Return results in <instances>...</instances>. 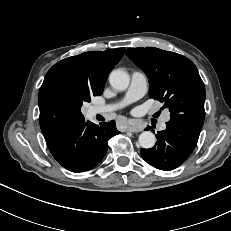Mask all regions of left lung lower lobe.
Masks as SVG:
<instances>
[{
	"label": "left lung lower lobe",
	"instance_id": "obj_1",
	"mask_svg": "<svg viewBox=\"0 0 231 231\" xmlns=\"http://www.w3.org/2000/svg\"><path fill=\"white\" fill-rule=\"evenodd\" d=\"M147 126L145 130H151ZM198 132L175 122H167L166 129L157 133V142L153 148L141 149L143 159L157 169L170 171L182 163L193 152Z\"/></svg>",
	"mask_w": 231,
	"mask_h": 231
}]
</instances>
